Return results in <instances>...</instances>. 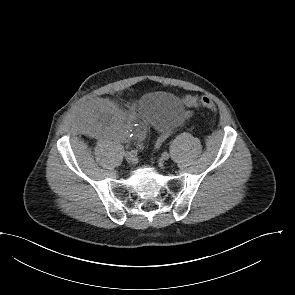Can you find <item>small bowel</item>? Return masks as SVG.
<instances>
[{
	"label": "small bowel",
	"instance_id": "c3829d8e",
	"mask_svg": "<svg viewBox=\"0 0 295 295\" xmlns=\"http://www.w3.org/2000/svg\"><path fill=\"white\" fill-rule=\"evenodd\" d=\"M190 95H185L182 100L189 105ZM82 119L98 133L105 137L125 141L131 138L139 146L143 144L148 135V127L144 121L137 118L134 111L124 112L115 107L107 99H95L86 103ZM170 135L165 132L160 136L162 142Z\"/></svg>",
	"mask_w": 295,
	"mask_h": 295
}]
</instances>
